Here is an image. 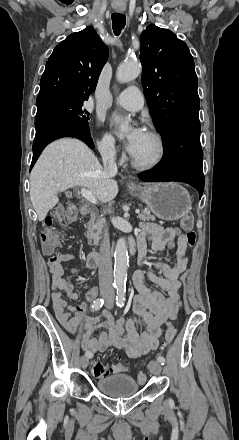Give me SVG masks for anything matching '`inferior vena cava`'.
Instances as JSON below:
<instances>
[{
  "instance_id": "602c4592",
  "label": "inferior vena cava",
  "mask_w": 239,
  "mask_h": 440,
  "mask_svg": "<svg viewBox=\"0 0 239 440\" xmlns=\"http://www.w3.org/2000/svg\"><path fill=\"white\" fill-rule=\"evenodd\" d=\"M101 156L104 164V170L109 176H116L117 166L115 162V152L114 150H109V148H104L101 150ZM99 288L102 298L105 299L104 307H113L114 290H113V276H112V256L109 240V232L105 230L100 244L99 250Z\"/></svg>"
}]
</instances>
